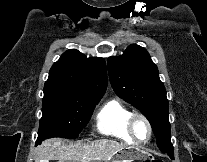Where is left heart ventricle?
I'll list each match as a JSON object with an SVG mask.
<instances>
[{
  "label": "left heart ventricle",
  "mask_w": 207,
  "mask_h": 162,
  "mask_svg": "<svg viewBox=\"0 0 207 162\" xmlns=\"http://www.w3.org/2000/svg\"><path fill=\"white\" fill-rule=\"evenodd\" d=\"M134 132L135 136L139 140H145L148 136V129L144 121L138 119L135 121L134 124Z\"/></svg>",
  "instance_id": "1"
}]
</instances>
